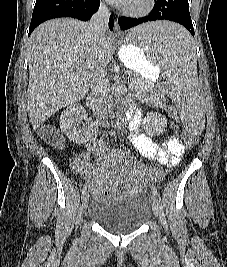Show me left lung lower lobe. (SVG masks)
I'll return each mask as SVG.
<instances>
[{
    "mask_svg": "<svg viewBox=\"0 0 227 267\" xmlns=\"http://www.w3.org/2000/svg\"><path fill=\"white\" fill-rule=\"evenodd\" d=\"M155 20L177 22L183 25L194 36L188 0H156L155 7L148 16L139 19L121 17L118 19V23L122 30H126L141 23ZM168 44L178 51L188 48L192 44V41L189 42L171 35L168 37Z\"/></svg>",
    "mask_w": 227,
    "mask_h": 267,
    "instance_id": "obj_1",
    "label": "left lung lower lobe"
}]
</instances>
